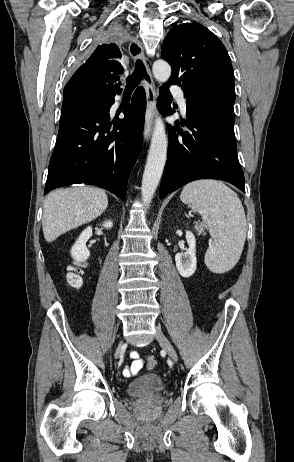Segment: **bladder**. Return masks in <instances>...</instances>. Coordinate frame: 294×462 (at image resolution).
I'll return each mask as SVG.
<instances>
[{"label": "bladder", "instance_id": "31cf9c89", "mask_svg": "<svg viewBox=\"0 0 294 462\" xmlns=\"http://www.w3.org/2000/svg\"><path fill=\"white\" fill-rule=\"evenodd\" d=\"M166 388V381L159 375L151 374L140 377L126 387V393L130 397L149 395Z\"/></svg>", "mask_w": 294, "mask_h": 462}]
</instances>
